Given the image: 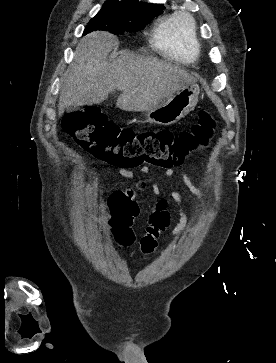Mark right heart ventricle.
<instances>
[{
  "label": "right heart ventricle",
  "mask_w": 276,
  "mask_h": 363,
  "mask_svg": "<svg viewBox=\"0 0 276 363\" xmlns=\"http://www.w3.org/2000/svg\"><path fill=\"white\" fill-rule=\"evenodd\" d=\"M152 43L160 53L181 62H193L199 54L194 20L184 13H176L159 21Z\"/></svg>",
  "instance_id": "obj_1"
}]
</instances>
